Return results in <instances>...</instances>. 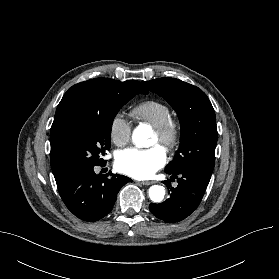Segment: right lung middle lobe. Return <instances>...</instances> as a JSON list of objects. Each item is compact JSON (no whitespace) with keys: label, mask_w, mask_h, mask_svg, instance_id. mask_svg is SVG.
<instances>
[{"label":"right lung middle lobe","mask_w":279,"mask_h":279,"mask_svg":"<svg viewBox=\"0 0 279 279\" xmlns=\"http://www.w3.org/2000/svg\"><path fill=\"white\" fill-rule=\"evenodd\" d=\"M136 94L131 90L109 93L99 109L79 112L65 122L59 145L70 175L105 164L102 156L110 149L114 117Z\"/></svg>","instance_id":"1"}]
</instances>
